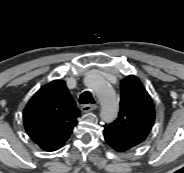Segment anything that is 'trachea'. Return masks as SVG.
<instances>
[{
	"label": "trachea",
	"mask_w": 184,
	"mask_h": 173,
	"mask_svg": "<svg viewBox=\"0 0 184 173\" xmlns=\"http://www.w3.org/2000/svg\"><path fill=\"white\" fill-rule=\"evenodd\" d=\"M79 102L81 104H93V103H95L92 94L88 91H85L80 95Z\"/></svg>",
	"instance_id": "1"
}]
</instances>
